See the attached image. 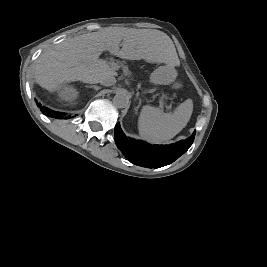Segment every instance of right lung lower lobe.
<instances>
[{"label": "right lung lower lobe", "instance_id": "98d812e1", "mask_svg": "<svg viewBox=\"0 0 267 267\" xmlns=\"http://www.w3.org/2000/svg\"><path fill=\"white\" fill-rule=\"evenodd\" d=\"M43 113L45 115L52 116V117L59 118V119H61L63 117V113L51 111L50 109H48L46 107H43Z\"/></svg>", "mask_w": 267, "mask_h": 267}]
</instances>
